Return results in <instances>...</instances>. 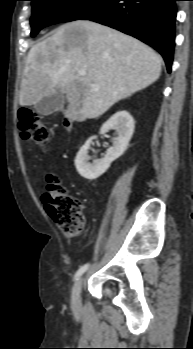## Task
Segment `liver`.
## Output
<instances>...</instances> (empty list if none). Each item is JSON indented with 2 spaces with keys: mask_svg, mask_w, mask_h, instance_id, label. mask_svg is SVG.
<instances>
[{
  "mask_svg": "<svg viewBox=\"0 0 193 349\" xmlns=\"http://www.w3.org/2000/svg\"><path fill=\"white\" fill-rule=\"evenodd\" d=\"M161 66V56L137 39L91 21H73L30 49L19 103L35 105L62 92L68 120L95 119L154 83ZM79 70L86 75L79 76Z\"/></svg>",
  "mask_w": 193,
  "mask_h": 349,
  "instance_id": "obj_1",
  "label": "liver"
}]
</instances>
